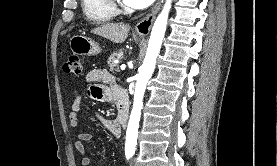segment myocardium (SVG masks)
Returning <instances> with one entry per match:
<instances>
[{
	"instance_id": "1",
	"label": "myocardium",
	"mask_w": 277,
	"mask_h": 166,
	"mask_svg": "<svg viewBox=\"0 0 277 166\" xmlns=\"http://www.w3.org/2000/svg\"><path fill=\"white\" fill-rule=\"evenodd\" d=\"M107 1L115 12H120L123 10V4L121 0H107Z\"/></svg>"
}]
</instances>
